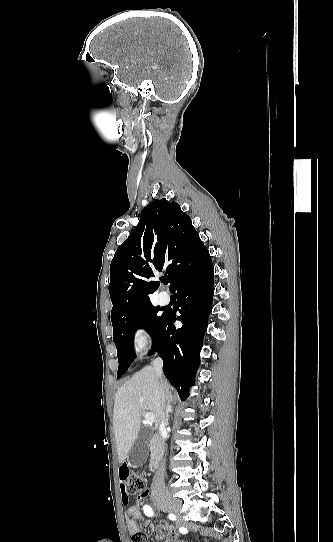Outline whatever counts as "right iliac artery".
Returning <instances> with one entry per match:
<instances>
[{
	"label": "right iliac artery",
	"mask_w": 333,
	"mask_h": 542,
	"mask_svg": "<svg viewBox=\"0 0 333 542\" xmlns=\"http://www.w3.org/2000/svg\"><path fill=\"white\" fill-rule=\"evenodd\" d=\"M144 513L147 516H153V511H152L151 507L148 506V505L144 506Z\"/></svg>",
	"instance_id": "right-iliac-artery-1"
}]
</instances>
